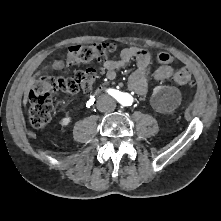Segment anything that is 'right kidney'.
<instances>
[{
	"instance_id": "1",
	"label": "right kidney",
	"mask_w": 221,
	"mask_h": 221,
	"mask_svg": "<svg viewBox=\"0 0 221 221\" xmlns=\"http://www.w3.org/2000/svg\"><path fill=\"white\" fill-rule=\"evenodd\" d=\"M71 122V117L66 116L61 120V125L62 126H67Z\"/></svg>"
}]
</instances>
